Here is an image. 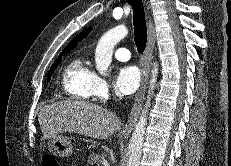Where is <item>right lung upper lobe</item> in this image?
<instances>
[{"label":"right lung upper lobe","instance_id":"cb5924a9","mask_svg":"<svg viewBox=\"0 0 231 166\" xmlns=\"http://www.w3.org/2000/svg\"><path fill=\"white\" fill-rule=\"evenodd\" d=\"M92 30V27L85 29L81 33H79L70 43L65 47V49L61 53H69L78 42L83 40ZM60 53V54H61Z\"/></svg>","mask_w":231,"mask_h":166}]
</instances>
